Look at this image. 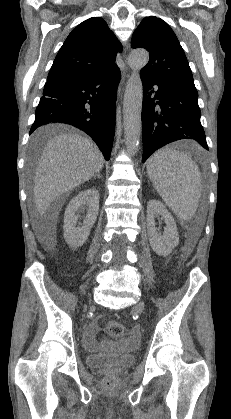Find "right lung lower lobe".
<instances>
[{
  "label": "right lung lower lobe",
  "mask_w": 231,
  "mask_h": 419,
  "mask_svg": "<svg viewBox=\"0 0 231 419\" xmlns=\"http://www.w3.org/2000/svg\"><path fill=\"white\" fill-rule=\"evenodd\" d=\"M120 70L45 84L30 134L48 123H68L86 132L110 159Z\"/></svg>",
  "instance_id": "1"
}]
</instances>
